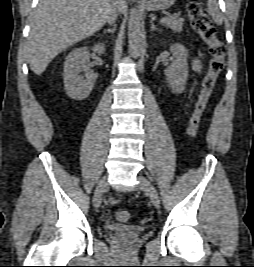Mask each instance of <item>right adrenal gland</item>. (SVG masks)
Segmentation results:
<instances>
[{
    "label": "right adrenal gland",
    "instance_id": "1",
    "mask_svg": "<svg viewBox=\"0 0 254 267\" xmlns=\"http://www.w3.org/2000/svg\"><path fill=\"white\" fill-rule=\"evenodd\" d=\"M116 29V25H113V28H108L104 30V33H114Z\"/></svg>",
    "mask_w": 254,
    "mask_h": 267
}]
</instances>
